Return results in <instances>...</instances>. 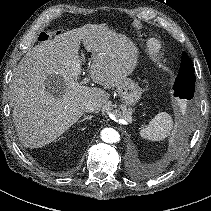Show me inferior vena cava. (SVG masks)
<instances>
[{
  "label": "inferior vena cava",
  "instance_id": "inferior-vena-cava-1",
  "mask_svg": "<svg viewBox=\"0 0 211 211\" xmlns=\"http://www.w3.org/2000/svg\"><path fill=\"white\" fill-rule=\"evenodd\" d=\"M84 111L88 113H93L97 111V107L94 106L92 103H86L84 107Z\"/></svg>",
  "mask_w": 211,
  "mask_h": 211
}]
</instances>
